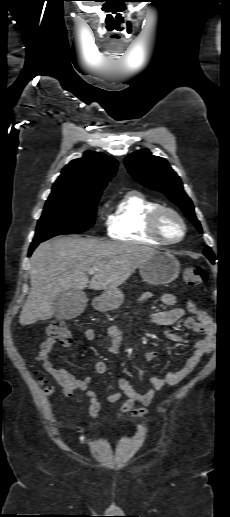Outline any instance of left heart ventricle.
Segmentation results:
<instances>
[{
	"label": "left heart ventricle",
	"instance_id": "1",
	"mask_svg": "<svg viewBox=\"0 0 230 517\" xmlns=\"http://www.w3.org/2000/svg\"><path fill=\"white\" fill-rule=\"evenodd\" d=\"M161 228L164 235L170 239L176 238L181 232L179 222L171 215L164 216Z\"/></svg>",
	"mask_w": 230,
	"mask_h": 517
}]
</instances>
